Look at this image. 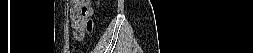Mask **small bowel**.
<instances>
[{
	"label": "small bowel",
	"instance_id": "c3829d8e",
	"mask_svg": "<svg viewBox=\"0 0 253 53\" xmlns=\"http://www.w3.org/2000/svg\"><path fill=\"white\" fill-rule=\"evenodd\" d=\"M90 5V3H88ZM73 35L75 38H82L84 35H85V31H76V30H73Z\"/></svg>",
	"mask_w": 253,
	"mask_h": 53
}]
</instances>
